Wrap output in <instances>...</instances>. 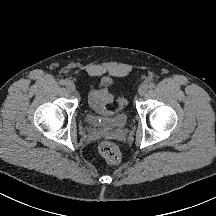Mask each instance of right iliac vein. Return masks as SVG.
<instances>
[{
    "instance_id": "63e3f726",
    "label": "right iliac vein",
    "mask_w": 216,
    "mask_h": 216,
    "mask_svg": "<svg viewBox=\"0 0 216 216\" xmlns=\"http://www.w3.org/2000/svg\"><path fill=\"white\" fill-rule=\"evenodd\" d=\"M65 87L69 92H73L75 90V85L71 81H67Z\"/></svg>"
}]
</instances>
